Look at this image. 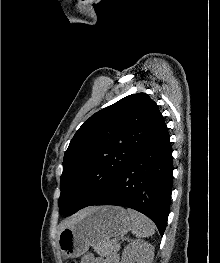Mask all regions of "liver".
<instances>
[{"label": "liver", "mask_w": 220, "mask_h": 263, "mask_svg": "<svg viewBox=\"0 0 220 263\" xmlns=\"http://www.w3.org/2000/svg\"><path fill=\"white\" fill-rule=\"evenodd\" d=\"M90 209H91V208H87V209H85V210H82V211L76 213L75 215L71 216L70 218L64 220V221L60 224V226H59L60 232H61L64 228H66V227L70 226L71 224H73L74 222H76L79 218H81V217H82L87 211H89Z\"/></svg>", "instance_id": "1"}]
</instances>
